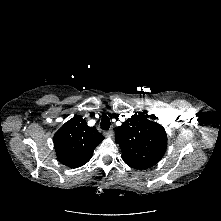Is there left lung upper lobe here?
Segmentation results:
<instances>
[{"label":"left lung upper lobe","mask_w":221,"mask_h":221,"mask_svg":"<svg viewBox=\"0 0 221 221\" xmlns=\"http://www.w3.org/2000/svg\"><path fill=\"white\" fill-rule=\"evenodd\" d=\"M141 115H133L117 127L115 141L119 144L124 162L135 169L145 170L163 157L167 148V134L158 123Z\"/></svg>","instance_id":"5c2ea615"}]
</instances>
